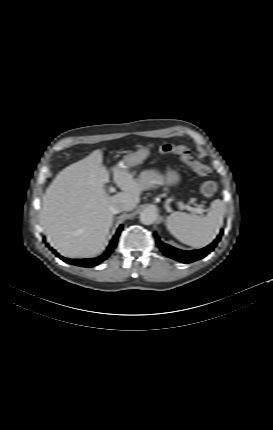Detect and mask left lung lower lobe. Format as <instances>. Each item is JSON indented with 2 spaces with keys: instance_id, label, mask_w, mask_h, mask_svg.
<instances>
[{
  "instance_id": "left-lung-lower-lobe-1",
  "label": "left lung lower lobe",
  "mask_w": 273,
  "mask_h": 430,
  "mask_svg": "<svg viewBox=\"0 0 273 430\" xmlns=\"http://www.w3.org/2000/svg\"><path fill=\"white\" fill-rule=\"evenodd\" d=\"M223 233V230H221V234ZM156 237V233L154 234ZM221 236L219 235L216 240L213 241L209 246L200 249V250H193V251H183L176 249L168 244L163 243L159 238L156 237V243L157 246L160 248V250L168 257L173 258L175 260H178L182 263H191L194 261H197L203 257H205L207 254H209L217 243L220 241Z\"/></svg>"
}]
</instances>
